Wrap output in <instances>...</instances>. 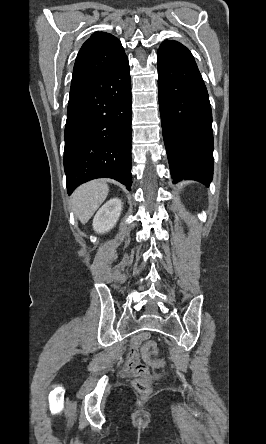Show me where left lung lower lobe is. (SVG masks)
I'll list each match as a JSON object with an SVG mask.
<instances>
[{"mask_svg": "<svg viewBox=\"0 0 266 444\" xmlns=\"http://www.w3.org/2000/svg\"><path fill=\"white\" fill-rule=\"evenodd\" d=\"M162 132L173 182L209 186L213 176L212 111L198 67L158 54Z\"/></svg>", "mask_w": 266, "mask_h": 444, "instance_id": "1", "label": "left lung lower lobe"}]
</instances>
